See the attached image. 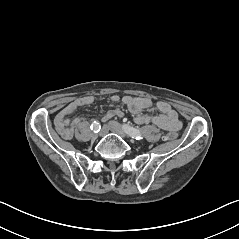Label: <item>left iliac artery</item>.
I'll use <instances>...</instances> for the list:
<instances>
[{"label": "left iliac artery", "mask_w": 239, "mask_h": 239, "mask_svg": "<svg viewBox=\"0 0 239 239\" xmlns=\"http://www.w3.org/2000/svg\"><path fill=\"white\" fill-rule=\"evenodd\" d=\"M123 129L129 136H131L132 138L136 140H140L143 138L141 132L134 127L124 124Z\"/></svg>", "instance_id": "left-iliac-artery-1"}]
</instances>
